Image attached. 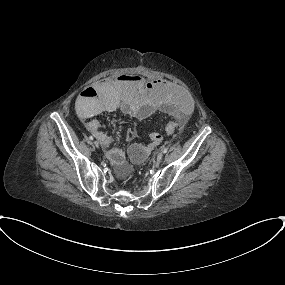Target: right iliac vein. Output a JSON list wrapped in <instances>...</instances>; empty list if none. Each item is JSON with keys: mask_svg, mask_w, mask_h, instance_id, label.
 I'll use <instances>...</instances> for the list:
<instances>
[{"mask_svg": "<svg viewBox=\"0 0 285 285\" xmlns=\"http://www.w3.org/2000/svg\"><path fill=\"white\" fill-rule=\"evenodd\" d=\"M95 147H99V142L97 140L94 141Z\"/></svg>", "mask_w": 285, "mask_h": 285, "instance_id": "1", "label": "right iliac vein"}]
</instances>
